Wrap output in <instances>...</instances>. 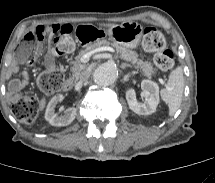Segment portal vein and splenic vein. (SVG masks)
<instances>
[{
    "instance_id": "18ae733b",
    "label": "portal vein and splenic vein",
    "mask_w": 215,
    "mask_h": 183,
    "mask_svg": "<svg viewBox=\"0 0 215 183\" xmlns=\"http://www.w3.org/2000/svg\"><path fill=\"white\" fill-rule=\"evenodd\" d=\"M103 51H109V52H114V49L112 47H109V46H102V47H98L90 52H87L86 54H84L82 56V60L84 63L88 62L90 57L97 53V52H103Z\"/></svg>"
}]
</instances>
